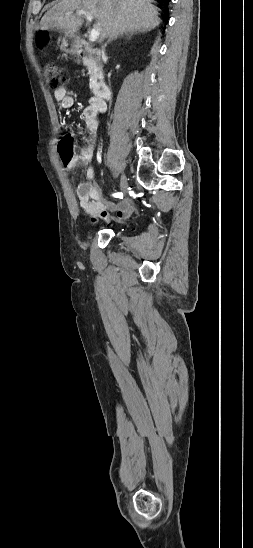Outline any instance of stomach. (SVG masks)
<instances>
[{"instance_id": "stomach-1", "label": "stomach", "mask_w": 253, "mask_h": 548, "mask_svg": "<svg viewBox=\"0 0 253 548\" xmlns=\"http://www.w3.org/2000/svg\"><path fill=\"white\" fill-rule=\"evenodd\" d=\"M61 50L68 54H75L77 45L72 35L65 34L61 44Z\"/></svg>"}]
</instances>
